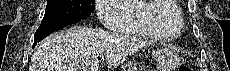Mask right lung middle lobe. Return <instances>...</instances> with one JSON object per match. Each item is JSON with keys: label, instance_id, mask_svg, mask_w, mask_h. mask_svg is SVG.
<instances>
[{"label": "right lung middle lobe", "instance_id": "obj_1", "mask_svg": "<svg viewBox=\"0 0 230 71\" xmlns=\"http://www.w3.org/2000/svg\"><path fill=\"white\" fill-rule=\"evenodd\" d=\"M95 0H47L41 25L83 19L94 11Z\"/></svg>", "mask_w": 230, "mask_h": 71}]
</instances>
